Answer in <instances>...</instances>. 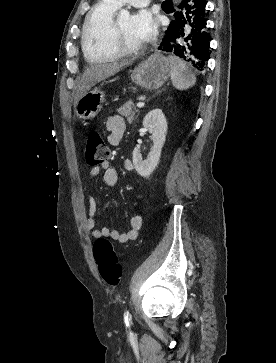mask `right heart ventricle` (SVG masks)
I'll list each match as a JSON object with an SVG mask.
<instances>
[{
    "mask_svg": "<svg viewBox=\"0 0 276 363\" xmlns=\"http://www.w3.org/2000/svg\"><path fill=\"white\" fill-rule=\"evenodd\" d=\"M118 4L112 0H101L86 17L83 26L82 49L92 63L116 60L119 55L112 48L110 30Z\"/></svg>",
    "mask_w": 276,
    "mask_h": 363,
    "instance_id": "1",
    "label": "right heart ventricle"
}]
</instances>
